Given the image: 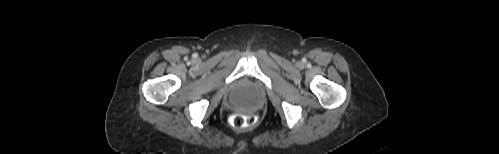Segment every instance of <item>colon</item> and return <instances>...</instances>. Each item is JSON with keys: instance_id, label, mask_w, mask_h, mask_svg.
I'll return each mask as SVG.
<instances>
[{"instance_id": "obj_1", "label": "colon", "mask_w": 499, "mask_h": 154, "mask_svg": "<svg viewBox=\"0 0 499 154\" xmlns=\"http://www.w3.org/2000/svg\"><path fill=\"white\" fill-rule=\"evenodd\" d=\"M254 118L251 115L235 113L231 117V124L237 129L245 128L252 124Z\"/></svg>"}]
</instances>
